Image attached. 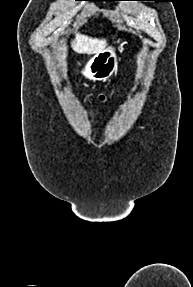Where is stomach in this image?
Returning <instances> with one entry per match:
<instances>
[{
  "label": "stomach",
  "instance_id": "obj_1",
  "mask_svg": "<svg viewBox=\"0 0 193 287\" xmlns=\"http://www.w3.org/2000/svg\"><path fill=\"white\" fill-rule=\"evenodd\" d=\"M81 66V74L92 81H106L117 68V56L112 47L95 53Z\"/></svg>",
  "mask_w": 193,
  "mask_h": 287
}]
</instances>
